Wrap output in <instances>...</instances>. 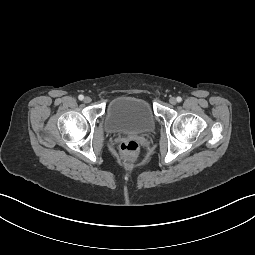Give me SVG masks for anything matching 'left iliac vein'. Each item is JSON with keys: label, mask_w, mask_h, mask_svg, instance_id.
I'll list each match as a JSON object with an SVG mask.
<instances>
[{"label": "left iliac vein", "mask_w": 255, "mask_h": 255, "mask_svg": "<svg viewBox=\"0 0 255 255\" xmlns=\"http://www.w3.org/2000/svg\"><path fill=\"white\" fill-rule=\"evenodd\" d=\"M169 102H170V104L175 105V104L177 103V100H176V98L171 97V98L169 99Z\"/></svg>", "instance_id": "4c4485c4"}]
</instances>
